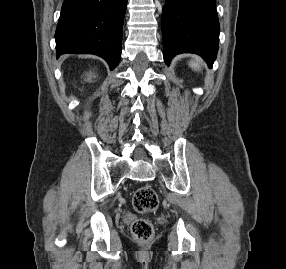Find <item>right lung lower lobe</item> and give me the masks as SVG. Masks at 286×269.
I'll list each match as a JSON object with an SVG mask.
<instances>
[{
    "mask_svg": "<svg viewBox=\"0 0 286 269\" xmlns=\"http://www.w3.org/2000/svg\"><path fill=\"white\" fill-rule=\"evenodd\" d=\"M127 0H64L56 28L57 56L95 54L114 69L121 57Z\"/></svg>",
    "mask_w": 286,
    "mask_h": 269,
    "instance_id": "98d812e1",
    "label": "right lung lower lobe"
}]
</instances>
